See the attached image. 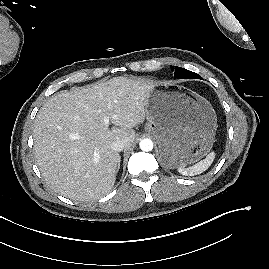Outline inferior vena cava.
<instances>
[{
  "instance_id": "obj_1",
  "label": "inferior vena cava",
  "mask_w": 269,
  "mask_h": 269,
  "mask_svg": "<svg viewBox=\"0 0 269 269\" xmlns=\"http://www.w3.org/2000/svg\"><path fill=\"white\" fill-rule=\"evenodd\" d=\"M111 147L114 151L119 152V151H122L124 149L125 144L122 140H117V141H114L112 143Z\"/></svg>"
}]
</instances>
